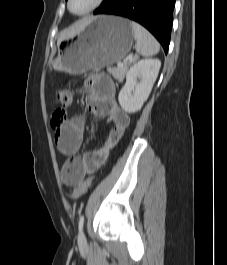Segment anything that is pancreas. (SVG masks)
<instances>
[{
    "instance_id": "pancreas-1",
    "label": "pancreas",
    "mask_w": 227,
    "mask_h": 265,
    "mask_svg": "<svg viewBox=\"0 0 227 265\" xmlns=\"http://www.w3.org/2000/svg\"><path fill=\"white\" fill-rule=\"evenodd\" d=\"M127 65L123 67L111 68L108 67L107 71L112 74V76L117 79L118 81L122 82L124 80L125 74L127 72Z\"/></svg>"
}]
</instances>
